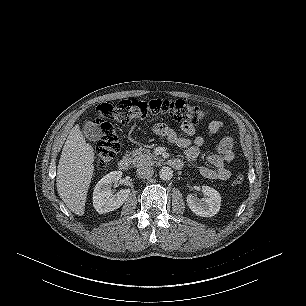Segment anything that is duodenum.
Instances as JSON below:
<instances>
[{
	"label": "duodenum",
	"instance_id": "duodenum-1",
	"mask_svg": "<svg viewBox=\"0 0 306 306\" xmlns=\"http://www.w3.org/2000/svg\"><path fill=\"white\" fill-rule=\"evenodd\" d=\"M131 164V160L128 156H123L118 162V168L122 171H126L129 169ZM170 166L175 169H180L182 167L181 161L177 159H172L169 161Z\"/></svg>",
	"mask_w": 306,
	"mask_h": 306
}]
</instances>
